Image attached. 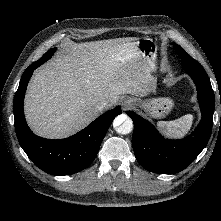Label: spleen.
Segmentation results:
<instances>
[{
    "mask_svg": "<svg viewBox=\"0 0 221 221\" xmlns=\"http://www.w3.org/2000/svg\"><path fill=\"white\" fill-rule=\"evenodd\" d=\"M193 122V115L187 114L172 121H159L157 126L163 130L167 136L182 137L190 129Z\"/></svg>",
    "mask_w": 221,
    "mask_h": 221,
    "instance_id": "obj_1",
    "label": "spleen"
}]
</instances>
